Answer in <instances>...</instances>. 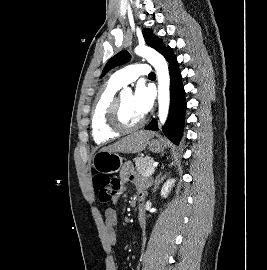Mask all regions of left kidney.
I'll return each mask as SVG.
<instances>
[{"instance_id":"1","label":"left kidney","mask_w":267,"mask_h":270,"mask_svg":"<svg viewBox=\"0 0 267 270\" xmlns=\"http://www.w3.org/2000/svg\"><path fill=\"white\" fill-rule=\"evenodd\" d=\"M175 183V179H168L164 185L162 186V189H161V196L163 197H167L171 188L173 187Z\"/></svg>"}]
</instances>
